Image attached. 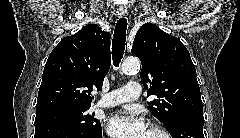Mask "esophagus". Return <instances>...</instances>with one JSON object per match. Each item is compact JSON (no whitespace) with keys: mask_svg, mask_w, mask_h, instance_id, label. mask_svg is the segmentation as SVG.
I'll list each match as a JSON object with an SVG mask.
<instances>
[{"mask_svg":"<svg viewBox=\"0 0 240 138\" xmlns=\"http://www.w3.org/2000/svg\"><path fill=\"white\" fill-rule=\"evenodd\" d=\"M117 13H118V16H119L120 18L126 17V14H127V8H126V6H120L119 9H118V11H117Z\"/></svg>","mask_w":240,"mask_h":138,"instance_id":"34e87169","label":"esophagus"}]
</instances>
